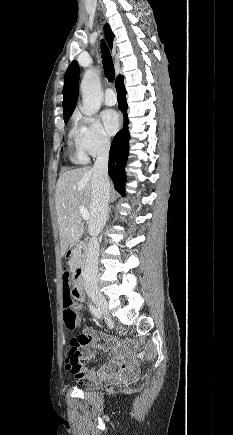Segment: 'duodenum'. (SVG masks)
Returning a JSON list of instances; mask_svg holds the SVG:
<instances>
[{"mask_svg": "<svg viewBox=\"0 0 233 435\" xmlns=\"http://www.w3.org/2000/svg\"><path fill=\"white\" fill-rule=\"evenodd\" d=\"M84 248L85 245L82 242H78L77 244L71 245L70 247L67 248L66 252L64 253V259L69 260L72 257L75 250H81ZM83 274H84V269L82 267L76 269V271L74 272L75 283L71 288L72 296L78 301H83L85 299L84 290L82 286Z\"/></svg>", "mask_w": 233, "mask_h": 435, "instance_id": "410a0bca", "label": "duodenum"}]
</instances>
